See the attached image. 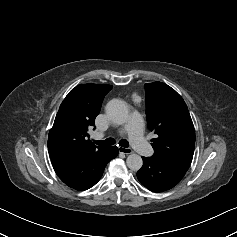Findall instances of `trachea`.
Listing matches in <instances>:
<instances>
[{"mask_svg":"<svg viewBox=\"0 0 237 237\" xmlns=\"http://www.w3.org/2000/svg\"><path fill=\"white\" fill-rule=\"evenodd\" d=\"M95 144L102 145V146H111L115 144V140L113 138H107L106 140L95 141ZM119 145L122 147H128L129 143L127 140L122 139L119 141Z\"/></svg>","mask_w":237,"mask_h":237,"instance_id":"trachea-1","label":"trachea"}]
</instances>
